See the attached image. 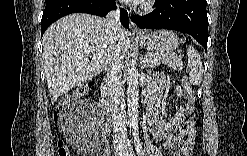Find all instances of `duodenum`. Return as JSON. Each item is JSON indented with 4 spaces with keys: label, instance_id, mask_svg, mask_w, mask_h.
Here are the masks:
<instances>
[{
    "label": "duodenum",
    "instance_id": "duodenum-1",
    "mask_svg": "<svg viewBox=\"0 0 247 156\" xmlns=\"http://www.w3.org/2000/svg\"><path fill=\"white\" fill-rule=\"evenodd\" d=\"M101 93L103 96L108 97L109 93H110V86L109 83L107 81H105L102 84V88H101ZM108 100V98H107ZM150 110L146 108V116L149 117L150 116Z\"/></svg>",
    "mask_w": 247,
    "mask_h": 156
}]
</instances>
